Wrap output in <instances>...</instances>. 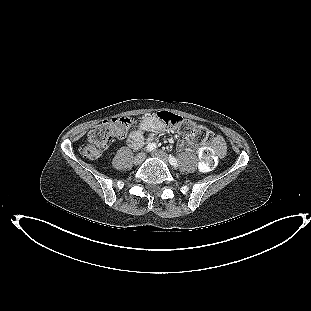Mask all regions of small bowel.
<instances>
[{"label":"small bowel","mask_w":311,"mask_h":311,"mask_svg":"<svg viewBox=\"0 0 311 311\" xmlns=\"http://www.w3.org/2000/svg\"><path fill=\"white\" fill-rule=\"evenodd\" d=\"M141 124L149 131L148 138L150 139L166 129L165 125L161 122V120L154 115H148L142 118ZM128 141L130 145L134 148L141 146L142 143L145 141V134L142 131V128L131 134ZM191 146L192 142L188 138L182 139L178 144V148L181 150L187 149Z\"/></svg>","instance_id":"obj_1"}]
</instances>
